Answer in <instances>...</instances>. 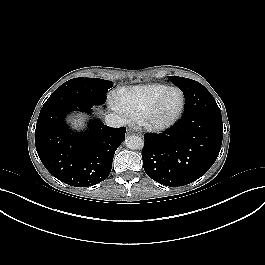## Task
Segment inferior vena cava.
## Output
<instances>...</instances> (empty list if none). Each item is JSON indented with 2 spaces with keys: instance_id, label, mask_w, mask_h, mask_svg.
Returning a JSON list of instances; mask_svg holds the SVG:
<instances>
[{
  "instance_id": "obj_1",
  "label": "inferior vena cava",
  "mask_w": 265,
  "mask_h": 265,
  "mask_svg": "<svg viewBox=\"0 0 265 265\" xmlns=\"http://www.w3.org/2000/svg\"><path fill=\"white\" fill-rule=\"evenodd\" d=\"M106 125L119 128L125 125V119L117 114L111 113L105 116Z\"/></svg>"
}]
</instances>
